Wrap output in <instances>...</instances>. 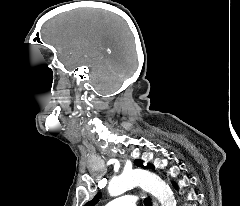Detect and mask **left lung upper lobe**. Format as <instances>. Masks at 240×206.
Masks as SVG:
<instances>
[{
  "mask_svg": "<svg viewBox=\"0 0 240 206\" xmlns=\"http://www.w3.org/2000/svg\"><path fill=\"white\" fill-rule=\"evenodd\" d=\"M135 165L138 167L154 169V166L151 164L144 167L143 162L139 159L135 160ZM100 197H101V194L98 193L91 201L87 202L85 206H94L99 201Z\"/></svg>",
  "mask_w": 240,
  "mask_h": 206,
  "instance_id": "1",
  "label": "left lung upper lobe"
}]
</instances>
